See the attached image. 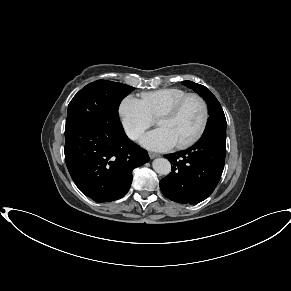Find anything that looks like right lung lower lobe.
Masks as SVG:
<instances>
[{"mask_svg":"<svg viewBox=\"0 0 291 291\" xmlns=\"http://www.w3.org/2000/svg\"><path fill=\"white\" fill-rule=\"evenodd\" d=\"M65 161L79 190L96 202L123 197L132 182V170L149 161L147 151L124 133L120 121L91 127L68 122Z\"/></svg>","mask_w":291,"mask_h":291,"instance_id":"obj_1","label":"right lung lower lobe"}]
</instances>
